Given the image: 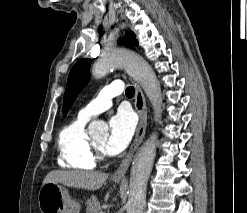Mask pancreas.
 I'll return each instance as SVG.
<instances>
[{"mask_svg":"<svg viewBox=\"0 0 247 213\" xmlns=\"http://www.w3.org/2000/svg\"><path fill=\"white\" fill-rule=\"evenodd\" d=\"M86 213H103L101 205L95 196H92L87 200Z\"/></svg>","mask_w":247,"mask_h":213,"instance_id":"1","label":"pancreas"}]
</instances>
